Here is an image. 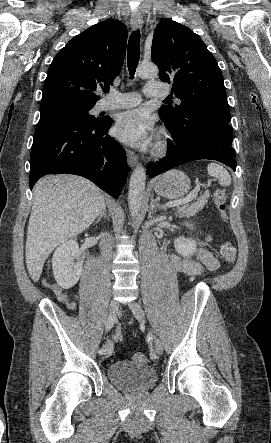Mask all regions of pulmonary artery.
<instances>
[{
    "mask_svg": "<svg viewBox=\"0 0 271 443\" xmlns=\"http://www.w3.org/2000/svg\"><path fill=\"white\" fill-rule=\"evenodd\" d=\"M144 93L147 96H162L165 95L164 91H157L152 89V84L147 83L144 88ZM141 95L135 92L131 93H121L116 90H110V92L101 98L95 109L97 111L113 110V109H123L131 108L137 106L141 103ZM179 102V100H177Z\"/></svg>",
    "mask_w": 271,
    "mask_h": 443,
    "instance_id": "pulmonary-artery-1",
    "label": "pulmonary artery"
}]
</instances>
